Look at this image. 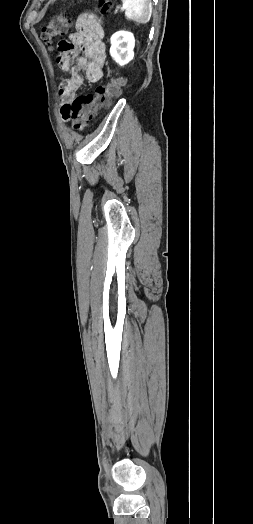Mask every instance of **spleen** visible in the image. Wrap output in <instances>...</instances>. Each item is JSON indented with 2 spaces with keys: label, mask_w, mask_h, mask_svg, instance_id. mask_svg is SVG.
Segmentation results:
<instances>
[{
  "label": "spleen",
  "mask_w": 253,
  "mask_h": 524,
  "mask_svg": "<svg viewBox=\"0 0 253 524\" xmlns=\"http://www.w3.org/2000/svg\"><path fill=\"white\" fill-rule=\"evenodd\" d=\"M126 6L125 16L138 24H146L152 14L150 0H122Z\"/></svg>",
  "instance_id": "obj_1"
}]
</instances>
